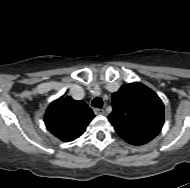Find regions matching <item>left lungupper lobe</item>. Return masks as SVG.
Wrapping results in <instances>:
<instances>
[{
    "mask_svg": "<svg viewBox=\"0 0 190 188\" xmlns=\"http://www.w3.org/2000/svg\"><path fill=\"white\" fill-rule=\"evenodd\" d=\"M113 112L108 120L114 128L157 136L164 124V105L159 96L142 83H130L112 94Z\"/></svg>",
    "mask_w": 190,
    "mask_h": 188,
    "instance_id": "1",
    "label": "left lung upper lobe"
}]
</instances>
